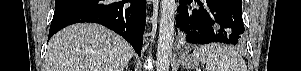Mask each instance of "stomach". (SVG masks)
Returning a JSON list of instances; mask_svg holds the SVG:
<instances>
[{
	"label": "stomach",
	"mask_w": 301,
	"mask_h": 71,
	"mask_svg": "<svg viewBox=\"0 0 301 71\" xmlns=\"http://www.w3.org/2000/svg\"><path fill=\"white\" fill-rule=\"evenodd\" d=\"M200 59L197 58L194 54L190 55V56H185L184 60L182 62V65L184 68H194L196 66H198V64L200 63Z\"/></svg>",
	"instance_id": "stomach-1"
}]
</instances>
